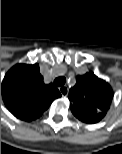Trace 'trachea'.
<instances>
[{
	"label": "trachea",
	"instance_id": "trachea-1",
	"mask_svg": "<svg viewBox=\"0 0 122 154\" xmlns=\"http://www.w3.org/2000/svg\"><path fill=\"white\" fill-rule=\"evenodd\" d=\"M66 82V78L65 77H57L55 80H54V84L56 86H63Z\"/></svg>",
	"mask_w": 122,
	"mask_h": 154
}]
</instances>
